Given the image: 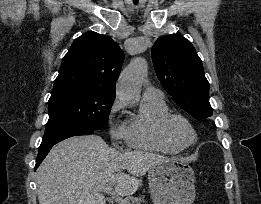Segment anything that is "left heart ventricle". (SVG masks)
<instances>
[{
    "label": "left heart ventricle",
    "mask_w": 261,
    "mask_h": 204,
    "mask_svg": "<svg viewBox=\"0 0 261 204\" xmlns=\"http://www.w3.org/2000/svg\"><path fill=\"white\" fill-rule=\"evenodd\" d=\"M172 132L180 144H187L192 139L191 131L183 123H174L172 126Z\"/></svg>",
    "instance_id": "b2bd125f"
}]
</instances>
